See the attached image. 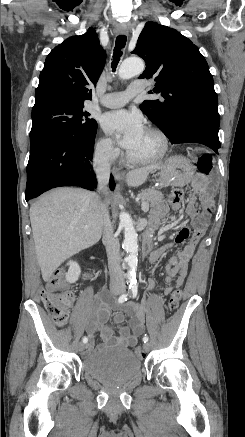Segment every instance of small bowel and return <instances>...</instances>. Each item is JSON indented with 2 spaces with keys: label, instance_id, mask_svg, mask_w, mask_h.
I'll return each mask as SVG.
<instances>
[{
  "label": "small bowel",
  "instance_id": "obj_1",
  "mask_svg": "<svg viewBox=\"0 0 245 437\" xmlns=\"http://www.w3.org/2000/svg\"><path fill=\"white\" fill-rule=\"evenodd\" d=\"M192 189L194 196L189 200L186 210L192 219L194 229L191 232L189 227L184 226L176 235L175 243H182L186 240L188 243L176 255H172L169 258L166 265L167 275L165 277V282L167 283V286L164 289L165 295L170 294L174 286L179 287L184 283L196 246L209 225V216L206 213H200L196 205V197H205L209 192L210 187L208 180L203 176H196L192 182ZM170 208L174 211H179L181 206L179 203H163L154 215L151 226L152 229H154L158 223L167 216ZM173 244L174 243H167L155 250L150 257V263H155L161 254L169 250ZM174 278V285H172L171 282ZM153 285V280H149L147 283V289H151ZM146 306L147 302L143 299L139 303H128L122 311L116 313L114 316V322L119 326V328L118 333L114 334L113 329L106 325V322L110 317V311L103 301L102 294H100L93 301L92 312L87 323L86 331L91 339L99 334L104 341V346L106 347L117 346L126 348L132 346L136 343L137 338L144 332ZM125 315L130 317L129 327L122 325ZM92 351L93 346L91 344L89 345L87 352L90 353Z\"/></svg>",
  "mask_w": 245,
  "mask_h": 437
}]
</instances>
